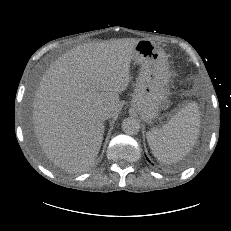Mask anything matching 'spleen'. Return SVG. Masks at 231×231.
Instances as JSON below:
<instances>
[{
    "label": "spleen",
    "mask_w": 231,
    "mask_h": 231,
    "mask_svg": "<svg viewBox=\"0 0 231 231\" xmlns=\"http://www.w3.org/2000/svg\"><path fill=\"white\" fill-rule=\"evenodd\" d=\"M200 133L199 107L188 103L160 128L147 133L149 147L157 160L172 164L186 156Z\"/></svg>",
    "instance_id": "spleen-1"
}]
</instances>
